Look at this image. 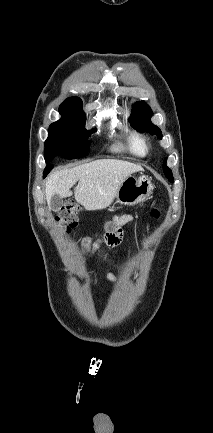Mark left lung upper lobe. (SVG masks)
Returning a JSON list of instances; mask_svg holds the SVG:
<instances>
[{
    "label": "left lung upper lobe",
    "mask_w": 213,
    "mask_h": 433,
    "mask_svg": "<svg viewBox=\"0 0 213 433\" xmlns=\"http://www.w3.org/2000/svg\"><path fill=\"white\" fill-rule=\"evenodd\" d=\"M151 116V108L145 102L139 101L133 105L129 122L138 131H146L151 135L156 134L161 139L162 132L157 126L152 124L150 120ZM163 172L170 182L174 181L171 169L166 166V160L163 162Z\"/></svg>",
    "instance_id": "1"
}]
</instances>
